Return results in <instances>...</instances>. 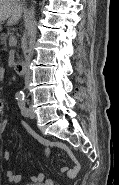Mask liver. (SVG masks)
<instances>
[{
  "label": "liver",
  "instance_id": "6515ba94",
  "mask_svg": "<svg viewBox=\"0 0 119 185\" xmlns=\"http://www.w3.org/2000/svg\"><path fill=\"white\" fill-rule=\"evenodd\" d=\"M22 15L20 0H0V23L8 19V25L16 24Z\"/></svg>",
  "mask_w": 119,
  "mask_h": 185
}]
</instances>
